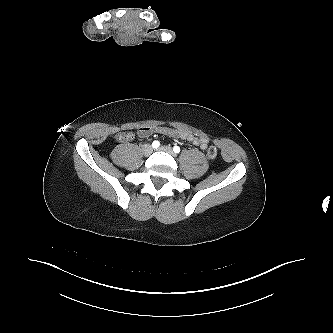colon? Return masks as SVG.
<instances>
[{"label": "colon", "instance_id": "5ec220e1", "mask_svg": "<svg viewBox=\"0 0 333 333\" xmlns=\"http://www.w3.org/2000/svg\"><path fill=\"white\" fill-rule=\"evenodd\" d=\"M116 139L120 142H127L133 139V134L131 132H119L116 135ZM217 149L214 146H210L207 149V156L210 159H215L217 157Z\"/></svg>", "mask_w": 333, "mask_h": 333}]
</instances>
